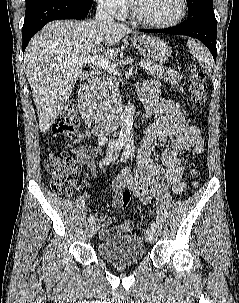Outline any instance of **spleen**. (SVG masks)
<instances>
[{
  "label": "spleen",
  "mask_w": 239,
  "mask_h": 303,
  "mask_svg": "<svg viewBox=\"0 0 239 303\" xmlns=\"http://www.w3.org/2000/svg\"><path fill=\"white\" fill-rule=\"evenodd\" d=\"M187 45L190 49L191 55L197 59L201 67L205 69L208 75H211L213 69V60L206 47L196 43L195 41H188Z\"/></svg>",
  "instance_id": "1"
}]
</instances>
